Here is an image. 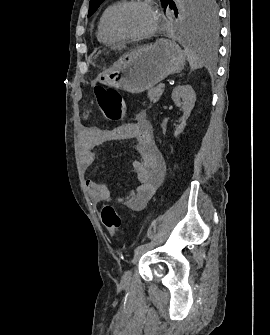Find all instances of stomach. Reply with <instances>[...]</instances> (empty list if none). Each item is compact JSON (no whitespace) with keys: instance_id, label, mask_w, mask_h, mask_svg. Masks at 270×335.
Segmentation results:
<instances>
[{"instance_id":"0dacf381","label":"stomach","mask_w":270,"mask_h":335,"mask_svg":"<svg viewBox=\"0 0 270 335\" xmlns=\"http://www.w3.org/2000/svg\"><path fill=\"white\" fill-rule=\"evenodd\" d=\"M184 66V50L172 40L159 38L155 44L125 52L112 68L98 74L96 82L108 88L140 94L153 88L169 74L181 72Z\"/></svg>"}]
</instances>
